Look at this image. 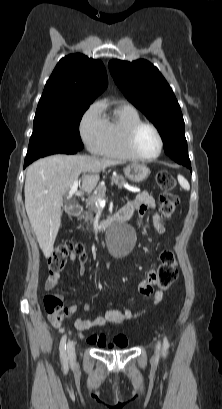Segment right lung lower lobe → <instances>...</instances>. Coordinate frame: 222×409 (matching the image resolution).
Listing matches in <instances>:
<instances>
[{
  "label": "right lung lower lobe",
  "instance_id": "right-lung-lower-lobe-1",
  "mask_svg": "<svg viewBox=\"0 0 222 409\" xmlns=\"http://www.w3.org/2000/svg\"><path fill=\"white\" fill-rule=\"evenodd\" d=\"M75 153H76V152H75ZM29 164H30V163H25V162H24V168H25L27 165H29Z\"/></svg>",
  "mask_w": 222,
  "mask_h": 409
}]
</instances>
